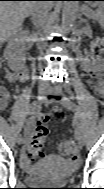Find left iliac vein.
Here are the masks:
<instances>
[{
    "instance_id": "4c4485c4",
    "label": "left iliac vein",
    "mask_w": 104,
    "mask_h": 189,
    "mask_svg": "<svg viewBox=\"0 0 104 189\" xmlns=\"http://www.w3.org/2000/svg\"><path fill=\"white\" fill-rule=\"evenodd\" d=\"M57 91H58V90L51 89V90H50V94H51V95L57 94ZM59 104H60L63 108L66 107V103H65V102H59ZM76 140H77V143H78L79 147H83V146H84L85 140H84V138H83V136L81 135L80 132H77V133H76Z\"/></svg>"
}]
</instances>
